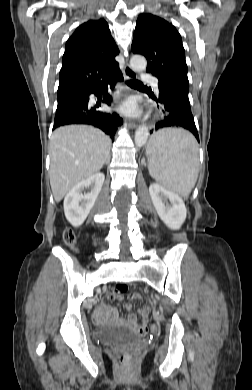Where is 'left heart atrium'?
<instances>
[{"label": "left heart atrium", "mask_w": 252, "mask_h": 390, "mask_svg": "<svg viewBox=\"0 0 252 390\" xmlns=\"http://www.w3.org/2000/svg\"><path fill=\"white\" fill-rule=\"evenodd\" d=\"M120 110L126 114H135L137 112V105L134 100L129 99L121 105Z\"/></svg>", "instance_id": "left-heart-atrium-1"}]
</instances>
